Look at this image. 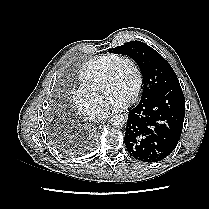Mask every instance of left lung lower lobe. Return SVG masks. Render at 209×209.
Wrapping results in <instances>:
<instances>
[{
    "mask_svg": "<svg viewBox=\"0 0 209 209\" xmlns=\"http://www.w3.org/2000/svg\"><path fill=\"white\" fill-rule=\"evenodd\" d=\"M185 98L180 85L141 99L128 114L124 142L129 154L144 162H158L175 149L183 128Z\"/></svg>",
    "mask_w": 209,
    "mask_h": 209,
    "instance_id": "left-lung-lower-lobe-1",
    "label": "left lung lower lobe"
}]
</instances>
